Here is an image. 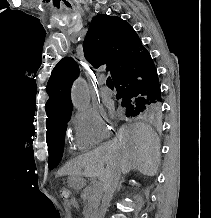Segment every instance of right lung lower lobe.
I'll list each match as a JSON object with an SVG mask.
<instances>
[{"label":"right lung lower lobe","instance_id":"1","mask_svg":"<svg viewBox=\"0 0 211 218\" xmlns=\"http://www.w3.org/2000/svg\"><path fill=\"white\" fill-rule=\"evenodd\" d=\"M113 81L117 98H139L150 102L162 100L157 71L147 50L122 67Z\"/></svg>","mask_w":211,"mask_h":218}]
</instances>
